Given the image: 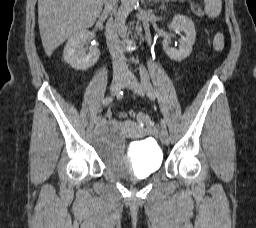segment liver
Here are the masks:
<instances>
[{
    "label": "liver",
    "mask_w": 256,
    "mask_h": 228,
    "mask_svg": "<svg viewBox=\"0 0 256 228\" xmlns=\"http://www.w3.org/2000/svg\"><path fill=\"white\" fill-rule=\"evenodd\" d=\"M103 0H38V24L45 53L50 57L66 39L91 27Z\"/></svg>",
    "instance_id": "obj_1"
}]
</instances>
